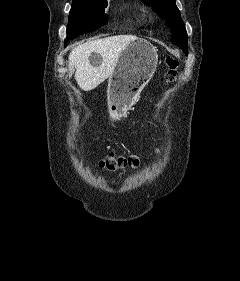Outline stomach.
<instances>
[{
  "label": "stomach",
  "instance_id": "0dacf381",
  "mask_svg": "<svg viewBox=\"0 0 240 281\" xmlns=\"http://www.w3.org/2000/svg\"><path fill=\"white\" fill-rule=\"evenodd\" d=\"M157 62V50L149 41L137 38L126 46L109 77L107 94L110 118L123 115L135 103L152 78Z\"/></svg>",
  "mask_w": 240,
  "mask_h": 281
}]
</instances>
